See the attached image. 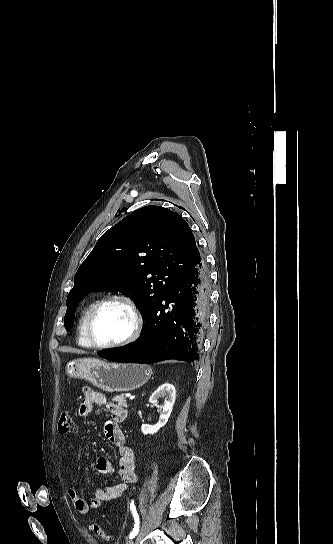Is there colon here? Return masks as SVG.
Here are the masks:
<instances>
[{
  "label": "colon",
  "mask_w": 333,
  "mask_h": 544,
  "mask_svg": "<svg viewBox=\"0 0 333 544\" xmlns=\"http://www.w3.org/2000/svg\"><path fill=\"white\" fill-rule=\"evenodd\" d=\"M75 429H76V425L72 415L70 413H63L58 422L59 433L61 434L73 433ZM90 529L100 539L102 540L109 539V534L103 526L97 523H93L90 525Z\"/></svg>",
  "instance_id": "colon-1"
}]
</instances>
